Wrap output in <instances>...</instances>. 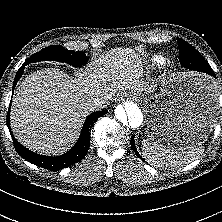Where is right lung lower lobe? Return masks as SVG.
<instances>
[{
  "label": "right lung lower lobe",
  "mask_w": 222,
  "mask_h": 222,
  "mask_svg": "<svg viewBox=\"0 0 222 222\" xmlns=\"http://www.w3.org/2000/svg\"><path fill=\"white\" fill-rule=\"evenodd\" d=\"M27 64H29V63L25 61L23 63V65L21 66V68L18 70V72L15 76V79H14V83H13V90H14L16 83L18 82V80L22 76V74L24 72V67ZM106 113H107V110H102V111H97V112L91 113L86 118V121H85L82 131H81V135H80L78 141L76 142V144L74 145V147L71 150H69L67 153H65L61 156L50 157V156H43L40 154H36V153L28 150L24 146H22L12 135L14 147H15L16 151L18 152V154L22 158H24L25 160H27L28 162H30L36 166H39V167H42L45 169H49V170H60L62 168H66L70 165H73V164L79 162L87 154L88 149H89V144H90L91 129H92L94 123L97 121V119ZM9 116H10V106H9V110L7 113V125L9 128V131L11 133Z\"/></svg>",
  "instance_id": "obj_1"
}]
</instances>
